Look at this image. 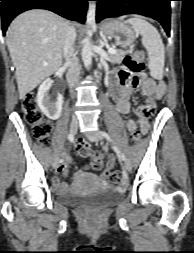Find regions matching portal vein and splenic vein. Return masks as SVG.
Instances as JSON below:
<instances>
[{"label": "portal vein and splenic vein", "instance_id": "portal-vein-and-splenic-vein-1", "mask_svg": "<svg viewBox=\"0 0 194 253\" xmlns=\"http://www.w3.org/2000/svg\"><path fill=\"white\" fill-rule=\"evenodd\" d=\"M108 53L109 54H115L116 50L114 48H108Z\"/></svg>", "mask_w": 194, "mask_h": 253}]
</instances>
